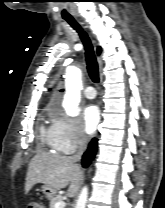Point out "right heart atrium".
Returning <instances> with one entry per match:
<instances>
[{
	"label": "right heart atrium",
	"instance_id": "d8ad5b80",
	"mask_svg": "<svg viewBox=\"0 0 165 208\" xmlns=\"http://www.w3.org/2000/svg\"><path fill=\"white\" fill-rule=\"evenodd\" d=\"M49 138L51 146L62 154L73 153L86 141L78 122L60 112L54 114Z\"/></svg>",
	"mask_w": 165,
	"mask_h": 208
}]
</instances>
